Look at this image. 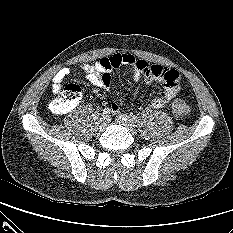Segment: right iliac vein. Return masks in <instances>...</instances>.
<instances>
[{
    "label": "right iliac vein",
    "instance_id": "right-iliac-vein-1",
    "mask_svg": "<svg viewBox=\"0 0 233 233\" xmlns=\"http://www.w3.org/2000/svg\"><path fill=\"white\" fill-rule=\"evenodd\" d=\"M108 125H109V118L107 116H102L98 122L99 129L104 130Z\"/></svg>",
    "mask_w": 233,
    "mask_h": 233
}]
</instances>
